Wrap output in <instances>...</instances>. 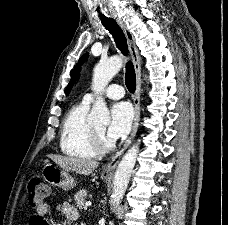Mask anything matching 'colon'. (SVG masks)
<instances>
[{"mask_svg":"<svg viewBox=\"0 0 228 225\" xmlns=\"http://www.w3.org/2000/svg\"><path fill=\"white\" fill-rule=\"evenodd\" d=\"M28 204L31 208L43 205L45 198L49 195L48 187L40 178H32L27 186Z\"/></svg>","mask_w":228,"mask_h":225,"instance_id":"colon-1","label":"colon"}]
</instances>
